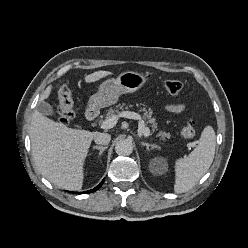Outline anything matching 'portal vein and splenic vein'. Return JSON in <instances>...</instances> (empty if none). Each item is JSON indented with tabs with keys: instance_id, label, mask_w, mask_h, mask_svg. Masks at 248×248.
<instances>
[{
	"instance_id": "1",
	"label": "portal vein and splenic vein",
	"mask_w": 248,
	"mask_h": 248,
	"mask_svg": "<svg viewBox=\"0 0 248 248\" xmlns=\"http://www.w3.org/2000/svg\"><path fill=\"white\" fill-rule=\"evenodd\" d=\"M119 117L139 120V133L143 134L146 137L150 135V129L148 127H145L144 121L142 120L141 116L138 113L130 111L121 112L119 115H114L111 118L105 120L101 124V128L105 130L113 128L117 124Z\"/></svg>"
}]
</instances>
